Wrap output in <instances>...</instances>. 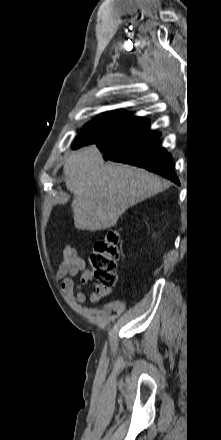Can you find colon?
<instances>
[{"mask_svg": "<svg viewBox=\"0 0 221 440\" xmlns=\"http://www.w3.org/2000/svg\"><path fill=\"white\" fill-rule=\"evenodd\" d=\"M120 234L116 230L109 231L106 237L94 244L89 256V263L99 285L111 288L116 283L115 271L120 259Z\"/></svg>", "mask_w": 221, "mask_h": 440, "instance_id": "5ec220e1", "label": "colon"}]
</instances>
